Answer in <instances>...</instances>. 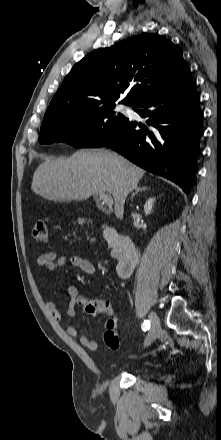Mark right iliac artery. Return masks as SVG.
Here are the masks:
<instances>
[{"label":"right iliac artery","instance_id":"1","mask_svg":"<svg viewBox=\"0 0 221 440\" xmlns=\"http://www.w3.org/2000/svg\"><path fill=\"white\" fill-rule=\"evenodd\" d=\"M150 328V321L149 320H145L142 324V329L144 331L148 330Z\"/></svg>","mask_w":221,"mask_h":440}]
</instances>
